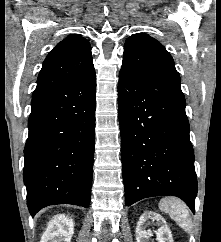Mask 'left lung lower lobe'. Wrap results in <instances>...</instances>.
Wrapping results in <instances>:
<instances>
[{
  "label": "left lung lower lobe",
  "mask_w": 221,
  "mask_h": 242,
  "mask_svg": "<svg viewBox=\"0 0 221 242\" xmlns=\"http://www.w3.org/2000/svg\"><path fill=\"white\" fill-rule=\"evenodd\" d=\"M185 98L156 90L121 68L118 114L125 204L172 195L195 212L197 178Z\"/></svg>",
  "instance_id": "1"
}]
</instances>
